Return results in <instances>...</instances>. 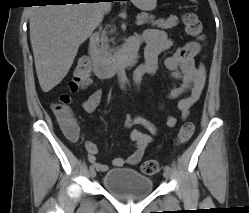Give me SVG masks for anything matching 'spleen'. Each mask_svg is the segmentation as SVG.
I'll use <instances>...</instances> for the list:
<instances>
[{
    "instance_id": "3e777b00",
    "label": "spleen",
    "mask_w": 249,
    "mask_h": 213,
    "mask_svg": "<svg viewBox=\"0 0 249 213\" xmlns=\"http://www.w3.org/2000/svg\"><path fill=\"white\" fill-rule=\"evenodd\" d=\"M190 1H192V2H196V0H190Z\"/></svg>"
}]
</instances>
